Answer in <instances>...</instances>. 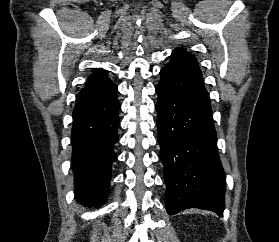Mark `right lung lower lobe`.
Here are the masks:
<instances>
[{
    "label": "right lung lower lobe",
    "instance_id": "obj_1",
    "mask_svg": "<svg viewBox=\"0 0 279 242\" xmlns=\"http://www.w3.org/2000/svg\"><path fill=\"white\" fill-rule=\"evenodd\" d=\"M117 86L77 97L73 111L72 170L76 200L85 206H100L110 192L112 163L119 140Z\"/></svg>",
    "mask_w": 279,
    "mask_h": 242
}]
</instances>
